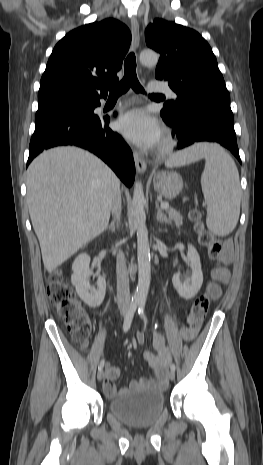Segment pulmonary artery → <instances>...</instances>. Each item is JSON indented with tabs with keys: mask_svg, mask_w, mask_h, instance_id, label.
I'll return each mask as SVG.
<instances>
[{
	"mask_svg": "<svg viewBox=\"0 0 263 465\" xmlns=\"http://www.w3.org/2000/svg\"><path fill=\"white\" fill-rule=\"evenodd\" d=\"M149 90L152 92H164L168 94L171 98L176 97V93L166 85L151 83L149 85Z\"/></svg>",
	"mask_w": 263,
	"mask_h": 465,
	"instance_id": "obj_1",
	"label": "pulmonary artery"
}]
</instances>
